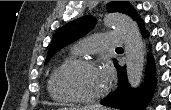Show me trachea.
<instances>
[{
  "label": "trachea",
  "instance_id": "3493384b",
  "mask_svg": "<svg viewBox=\"0 0 171 110\" xmlns=\"http://www.w3.org/2000/svg\"><path fill=\"white\" fill-rule=\"evenodd\" d=\"M116 49H122L121 47H117Z\"/></svg>",
  "mask_w": 171,
  "mask_h": 110
}]
</instances>
